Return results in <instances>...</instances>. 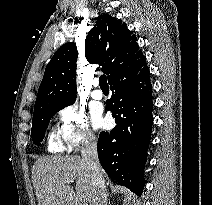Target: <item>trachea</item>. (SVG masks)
Instances as JSON below:
<instances>
[{
	"mask_svg": "<svg viewBox=\"0 0 212 205\" xmlns=\"http://www.w3.org/2000/svg\"><path fill=\"white\" fill-rule=\"evenodd\" d=\"M100 88H108L107 77L106 75H101L99 78Z\"/></svg>",
	"mask_w": 212,
	"mask_h": 205,
	"instance_id": "1",
	"label": "trachea"
}]
</instances>
